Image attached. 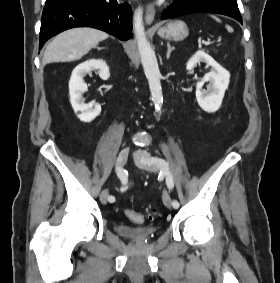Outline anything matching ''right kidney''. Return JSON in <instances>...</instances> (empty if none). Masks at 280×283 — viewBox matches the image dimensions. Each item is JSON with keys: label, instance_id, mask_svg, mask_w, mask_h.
Listing matches in <instances>:
<instances>
[{"label": "right kidney", "instance_id": "right-kidney-1", "mask_svg": "<svg viewBox=\"0 0 280 283\" xmlns=\"http://www.w3.org/2000/svg\"><path fill=\"white\" fill-rule=\"evenodd\" d=\"M96 70L102 80H108L110 77L109 67L103 60L91 59L75 67L69 81L70 102L77 114V117L83 122H91L101 112V106L95 101L85 103L82 95L87 91V85L84 83V76L91 71Z\"/></svg>", "mask_w": 280, "mask_h": 283}]
</instances>
